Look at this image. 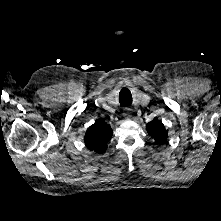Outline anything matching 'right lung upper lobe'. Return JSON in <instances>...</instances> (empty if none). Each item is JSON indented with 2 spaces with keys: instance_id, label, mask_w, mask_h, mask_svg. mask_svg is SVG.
<instances>
[{
  "instance_id": "cb5924a9",
  "label": "right lung upper lobe",
  "mask_w": 221,
  "mask_h": 221,
  "mask_svg": "<svg viewBox=\"0 0 221 221\" xmlns=\"http://www.w3.org/2000/svg\"><path fill=\"white\" fill-rule=\"evenodd\" d=\"M111 136V126L102 119H98L87 129L84 137L85 145L91 151L103 153L107 149V142L110 141Z\"/></svg>"
}]
</instances>
